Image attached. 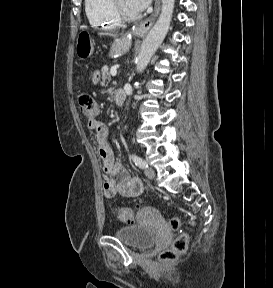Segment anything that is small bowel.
Instances as JSON below:
<instances>
[{"instance_id":"obj_1","label":"small bowel","mask_w":273,"mask_h":288,"mask_svg":"<svg viewBox=\"0 0 273 288\" xmlns=\"http://www.w3.org/2000/svg\"><path fill=\"white\" fill-rule=\"evenodd\" d=\"M88 128L95 132L99 154L103 160V194L112 198L116 194L124 197H136L143 192V183L138 177L128 174L120 161L115 157L108 141V131L105 124L91 119Z\"/></svg>"}]
</instances>
